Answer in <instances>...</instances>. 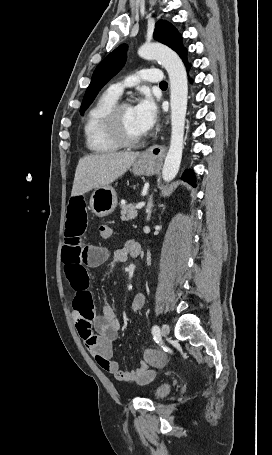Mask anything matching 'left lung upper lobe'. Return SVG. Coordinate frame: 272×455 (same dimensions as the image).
<instances>
[{
  "label": "left lung upper lobe",
  "instance_id": "left-lung-upper-lobe-1",
  "mask_svg": "<svg viewBox=\"0 0 272 455\" xmlns=\"http://www.w3.org/2000/svg\"><path fill=\"white\" fill-rule=\"evenodd\" d=\"M154 37L159 42L176 51L181 58L187 59V51L182 44V37L169 22L159 20L155 25ZM126 51L127 46L122 44L98 64L92 75L91 83L84 95L80 108L81 114H83L93 102L100 89L124 66Z\"/></svg>",
  "mask_w": 272,
  "mask_h": 455
}]
</instances>
